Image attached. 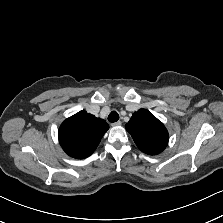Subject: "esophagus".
<instances>
[{"label":"esophagus","instance_id":"1","mask_svg":"<svg viewBox=\"0 0 223 223\" xmlns=\"http://www.w3.org/2000/svg\"><path fill=\"white\" fill-rule=\"evenodd\" d=\"M122 124L121 121H116V122H113L111 125L112 126H120Z\"/></svg>","mask_w":223,"mask_h":223}]
</instances>
